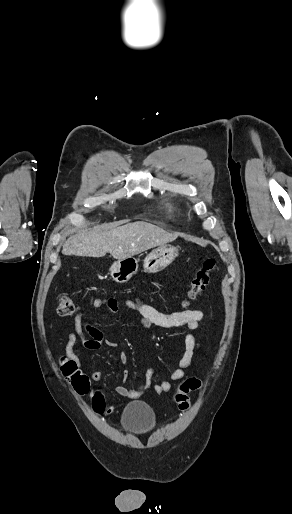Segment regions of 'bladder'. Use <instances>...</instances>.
I'll return each instance as SVG.
<instances>
[{
  "mask_svg": "<svg viewBox=\"0 0 292 514\" xmlns=\"http://www.w3.org/2000/svg\"><path fill=\"white\" fill-rule=\"evenodd\" d=\"M155 424L156 416L153 409L142 401L129 403L121 416L123 430L132 434L148 432Z\"/></svg>",
  "mask_w": 292,
  "mask_h": 514,
  "instance_id": "31cf9c89",
  "label": "bladder"
}]
</instances>
